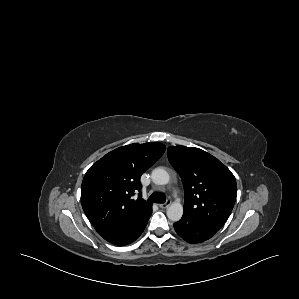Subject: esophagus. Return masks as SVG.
<instances>
[{"label":"esophagus","mask_w":299,"mask_h":299,"mask_svg":"<svg viewBox=\"0 0 299 299\" xmlns=\"http://www.w3.org/2000/svg\"><path fill=\"white\" fill-rule=\"evenodd\" d=\"M171 205V200H167L165 203L159 204L160 208H168Z\"/></svg>","instance_id":"esophagus-1"}]
</instances>
